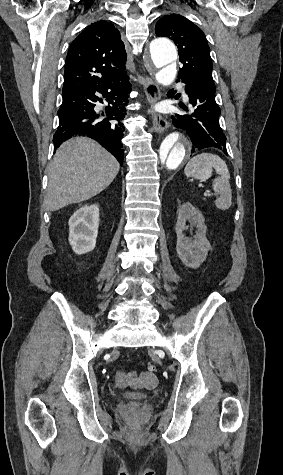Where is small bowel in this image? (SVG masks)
<instances>
[{
  "label": "small bowel",
  "mask_w": 283,
  "mask_h": 475,
  "mask_svg": "<svg viewBox=\"0 0 283 475\" xmlns=\"http://www.w3.org/2000/svg\"><path fill=\"white\" fill-rule=\"evenodd\" d=\"M116 384L120 387H127L131 384V376L127 371H118L115 376ZM141 383L145 387H153L157 383V377L153 374H144Z\"/></svg>",
  "instance_id": "small-bowel-1"
}]
</instances>
